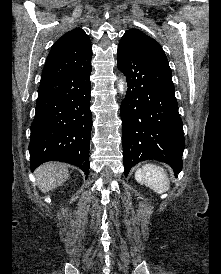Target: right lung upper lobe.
<instances>
[{
  "label": "right lung upper lobe",
  "instance_id": "cb5924a9",
  "mask_svg": "<svg viewBox=\"0 0 221 274\" xmlns=\"http://www.w3.org/2000/svg\"><path fill=\"white\" fill-rule=\"evenodd\" d=\"M91 58V42L81 28L65 33L53 44L49 52L40 84L91 65Z\"/></svg>",
  "mask_w": 221,
  "mask_h": 274
}]
</instances>
